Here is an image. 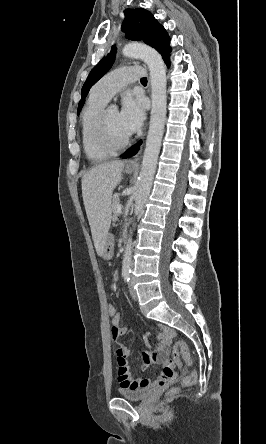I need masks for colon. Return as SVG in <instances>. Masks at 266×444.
<instances>
[{
  "mask_svg": "<svg viewBox=\"0 0 266 444\" xmlns=\"http://www.w3.org/2000/svg\"><path fill=\"white\" fill-rule=\"evenodd\" d=\"M107 313L110 318H114L119 312L117 311L115 305L113 303L107 304ZM181 359H183L188 365L192 364L191 352L188 344L185 341H178L176 343L175 349L172 353V363L177 367L181 364ZM197 373L192 370L187 375H185L182 379V386H191L196 383ZM176 389H172L170 393L175 392Z\"/></svg>",
  "mask_w": 266,
  "mask_h": 444,
  "instance_id": "5ec220e1",
  "label": "colon"
}]
</instances>
